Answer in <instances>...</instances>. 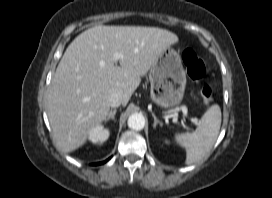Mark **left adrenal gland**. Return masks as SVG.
<instances>
[{
    "label": "left adrenal gland",
    "mask_w": 272,
    "mask_h": 198,
    "mask_svg": "<svg viewBox=\"0 0 272 198\" xmlns=\"http://www.w3.org/2000/svg\"><path fill=\"white\" fill-rule=\"evenodd\" d=\"M152 116L154 118L153 128L156 129L157 124H159L160 126H162V122L157 119V117H156V115L154 113H152Z\"/></svg>",
    "instance_id": "1"
}]
</instances>
